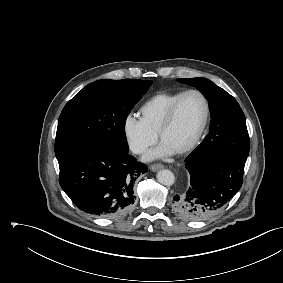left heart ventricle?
Returning a JSON list of instances; mask_svg holds the SVG:
<instances>
[{
	"label": "left heart ventricle",
	"mask_w": 283,
	"mask_h": 283,
	"mask_svg": "<svg viewBox=\"0 0 283 283\" xmlns=\"http://www.w3.org/2000/svg\"><path fill=\"white\" fill-rule=\"evenodd\" d=\"M203 100L195 94L181 102L172 126L163 135L162 142L175 152L186 147L196 136L204 117Z\"/></svg>",
	"instance_id": "b2bd125f"
}]
</instances>
